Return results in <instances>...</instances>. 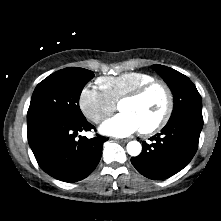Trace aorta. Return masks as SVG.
I'll return each instance as SVG.
<instances>
[{"label": "aorta", "instance_id": "762f6f07", "mask_svg": "<svg viewBox=\"0 0 221 221\" xmlns=\"http://www.w3.org/2000/svg\"><path fill=\"white\" fill-rule=\"evenodd\" d=\"M142 146L138 141H130L127 144V152L131 156H138L141 153Z\"/></svg>", "mask_w": 221, "mask_h": 221}]
</instances>
